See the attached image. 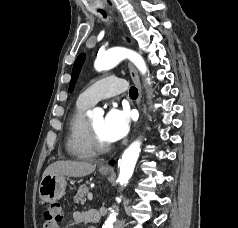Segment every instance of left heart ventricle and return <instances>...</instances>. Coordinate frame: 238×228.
<instances>
[{"label": "left heart ventricle", "mask_w": 238, "mask_h": 228, "mask_svg": "<svg viewBox=\"0 0 238 228\" xmlns=\"http://www.w3.org/2000/svg\"><path fill=\"white\" fill-rule=\"evenodd\" d=\"M93 129L95 130V132L97 133V135L99 136V138L105 142L108 143V141L106 140V138L104 137L103 134V124H104V119L102 117L93 119L90 121Z\"/></svg>", "instance_id": "1"}]
</instances>
